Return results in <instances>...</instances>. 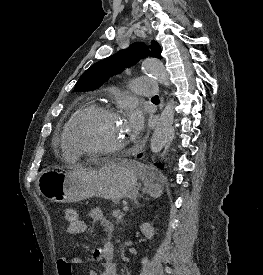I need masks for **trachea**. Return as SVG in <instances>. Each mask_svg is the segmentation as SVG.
Masks as SVG:
<instances>
[{
	"label": "trachea",
	"mask_w": 263,
	"mask_h": 275,
	"mask_svg": "<svg viewBox=\"0 0 263 275\" xmlns=\"http://www.w3.org/2000/svg\"><path fill=\"white\" fill-rule=\"evenodd\" d=\"M152 99H159V97L156 95V96L152 97Z\"/></svg>",
	"instance_id": "3493384b"
}]
</instances>
